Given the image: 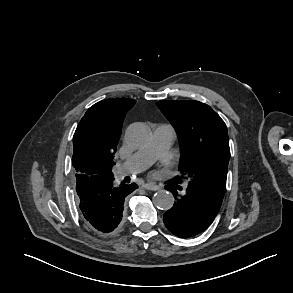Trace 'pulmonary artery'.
Listing matches in <instances>:
<instances>
[{"label":"pulmonary artery","instance_id":"e3ab8cb5","mask_svg":"<svg viewBox=\"0 0 293 293\" xmlns=\"http://www.w3.org/2000/svg\"><path fill=\"white\" fill-rule=\"evenodd\" d=\"M175 130L167 124L158 125L154 131L150 144L133 154L118 169L116 176L122 178L126 175L143 171L159 158L174 142Z\"/></svg>","mask_w":293,"mask_h":293}]
</instances>
